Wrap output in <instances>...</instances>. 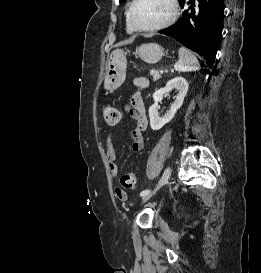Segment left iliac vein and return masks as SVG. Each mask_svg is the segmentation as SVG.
I'll list each match as a JSON object with an SVG mask.
<instances>
[{
    "label": "left iliac vein",
    "instance_id": "obj_1",
    "mask_svg": "<svg viewBox=\"0 0 261 273\" xmlns=\"http://www.w3.org/2000/svg\"><path fill=\"white\" fill-rule=\"evenodd\" d=\"M170 175H171V169L170 167H167L163 173V176L161 178V182H160V186H162L163 184H165L168 179L170 178ZM159 189V188H158ZM158 189H155L153 192H150L148 193L147 195L143 196L142 197V201L141 203H144L146 202L148 199H150L152 197V195L158 190Z\"/></svg>",
    "mask_w": 261,
    "mask_h": 273
}]
</instances>
